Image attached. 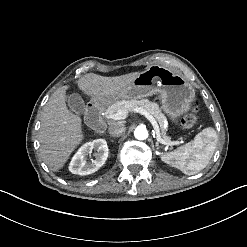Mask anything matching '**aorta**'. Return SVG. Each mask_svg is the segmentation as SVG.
Returning a JSON list of instances; mask_svg holds the SVG:
<instances>
[{"label": "aorta", "instance_id": "obj_1", "mask_svg": "<svg viewBox=\"0 0 247 247\" xmlns=\"http://www.w3.org/2000/svg\"><path fill=\"white\" fill-rule=\"evenodd\" d=\"M148 130L145 126H138L134 131V136L138 140H145L148 138Z\"/></svg>", "mask_w": 247, "mask_h": 247}]
</instances>
